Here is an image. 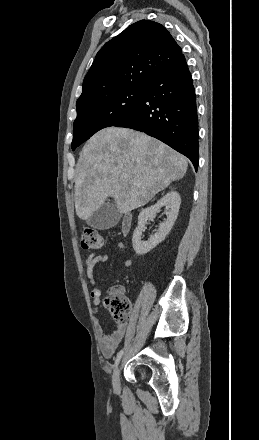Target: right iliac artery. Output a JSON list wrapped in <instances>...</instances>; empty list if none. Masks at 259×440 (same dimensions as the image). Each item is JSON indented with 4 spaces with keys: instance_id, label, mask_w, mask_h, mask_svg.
<instances>
[{
    "instance_id": "right-iliac-artery-1",
    "label": "right iliac artery",
    "mask_w": 259,
    "mask_h": 440,
    "mask_svg": "<svg viewBox=\"0 0 259 440\" xmlns=\"http://www.w3.org/2000/svg\"><path fill=\"white\" fill-rule=\"evenodd\" d=\"M122 354H123V350H120V351L118 352L117 357H116V360H115V366L118 365V363H119V361H120V359H121V357H122Z\"/></svg>"
}]
</instances>
